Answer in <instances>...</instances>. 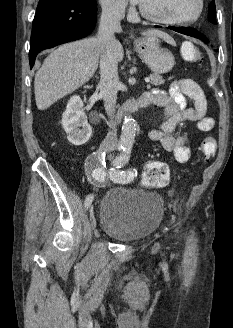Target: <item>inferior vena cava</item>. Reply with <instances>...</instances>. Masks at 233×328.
I'll return each mask as SVG.
<instances>
[{
  "mask_svg": "<svg viewBox=\"0 0 233 328\" xmlns=\"http://www.w3.org/2000/svg\"><path fill=\"white\" fill-rule=\"evenodd\" d=\"M125 15V3L120 0H110L102 5L98 39L102 45L100 54V94L105 102V110L110 118L111 130L101 144V149L113 151L117 144V131L114 121L117 101L118 61L113 52L115 32L121 31L120 21Z\"/></svg>",
  "mask_w": 233,
  "mask_h": 328,
  "instance_id": "inferior-vena-cava-1",
  "label": "inferior vena cava"
}]
</instances>
